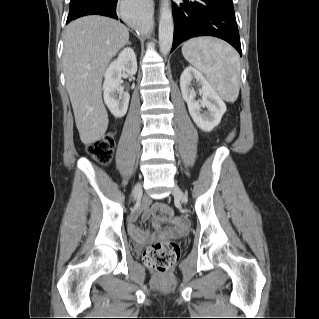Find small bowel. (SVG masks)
Here are the masks:
<instances>
[{"instance_id": "obj_1", "label": "small bowel", "mask_w": 319, "mask_h": 319, "mask_svg": "<svg viewBox=\"0 0 319 319\" xmlns=\"http://www.w3.org/2000/svg\"><path fill=\"white\" fill-rule=\"evenodd\" d=\"M151 200L148 197H144L142 199L140 208L135 212L133 216V220L136 218H148L149 213H148V208L150 206ZM172 224L174 225V229H167L164 231H161V233L158 235L159 237H165V236H174L177 234H181L185 232L188 228V222L179 217L176 216L172 219ZM155 227L158 229L160 226L157 222H155ZM128 232L130 235L136 239H138L141 242H145L150 240V237L148 236V232L143 231L139 228H137L133 222H130L128 225Z\"/></svg>"}]
</instances>
